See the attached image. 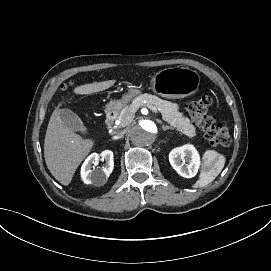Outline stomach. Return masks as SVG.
<instances>
[{
  "label": "stomach",
  "instance_id": "0dacf381",
  "mask_svg": "<svg viewBox=\"0 0 271 271\" xmlns=\"http://www.w3.org/2000/svg\"><path fill=\"white\" fill-rule=\"evenodd\" d=\"M151 91L165 99H182L195 95L201 84L200 74L187 67H168L155 72L150 81ZM142 95L141 88L130 85L127 92L121 96L119 104L110 102L108 111H120Z\"/></svg>",
  "mask_w": 271,
  "mask_h": 271
}]
</instances>
